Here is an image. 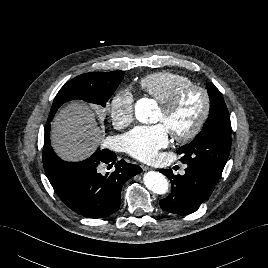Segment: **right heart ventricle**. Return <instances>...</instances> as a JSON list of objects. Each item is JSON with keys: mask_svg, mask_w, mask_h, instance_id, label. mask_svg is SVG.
<instances>
[{"mask_svg": "<svg viewBox=\"0 0 268 268\" xmlns=\"http://www.w3.org/2000/svg\"><path fill=\"white\" fill-rule=\"evenodd\" d=\"M190 83L191 81L181 74L163 70L145 76L140 80L139 84L142 90L162 105L166 103L178 89Z\"/></svg>", "mask_w": 268, "mask_h": 268, "instance_id": "obj_1", "label": "right heart ventricle"}]
</instances>
